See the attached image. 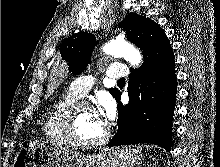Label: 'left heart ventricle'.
Returning a JSON list of instances; mask_svg holds the SVG:
<instances>
[{
  "instance_id": "b2bd125f",
  "label": "left heart ventricle",
  "mask_w": 220,
  "mask_h": 167,
  "mask_svg": "<svg viewBox=\"0 0 220 167\" xmlns=\"http://www.w3.org/2000/svg\"><path fill=\"white\" fill-rule=\"evenodd\" d=\"M106 130L95 113L94 109L82 108L79 110L76 120L77 136L85 141H92L100 138Z\"/></svg>"
}]
</instances>
